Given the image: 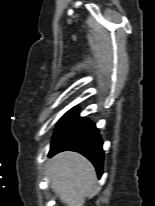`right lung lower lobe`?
<instances>
[{
    "instance_id": "right-lung-lower-lobe-1",
    "label": "right lung lower lobe",
    "mask_w": 155,
    "mask_h": 206,
    "mask_svg": "<svg viewBox=\"0 0 155 206\" xmlns=\"http://www.w3.org/2000/svg\"><path fill=\"white\" fill-rule=\"evenodd\" d=\"M99 130L86 118H80L55 133L49 156L62 151H76L86 156L96 167L99 176L103 171L104 151Z\"/></svg>"
}]
</instances>
